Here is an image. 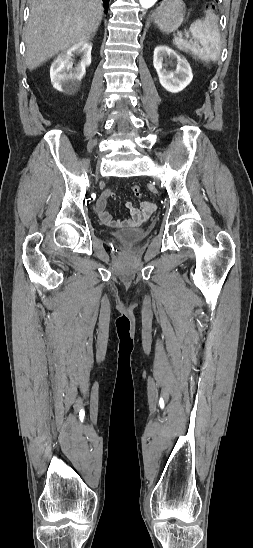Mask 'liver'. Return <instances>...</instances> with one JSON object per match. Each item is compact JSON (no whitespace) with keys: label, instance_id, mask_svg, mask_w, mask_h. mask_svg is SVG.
<instances>
[{"label":"liver","instance_id":"1","mask_svg":"<svg viewBox=\"0 0 253 548\" xmlns=\"http://www.w3.org/2000/svg\"><path fill=\"white\" fill-rule=\"evenodd\" d=\"M101 0H31L25 30L30 71L59 52L90 40L103 16Z\"/></svg>","mask_w":253,"mask_h":548}]
</instances>
